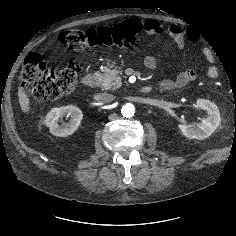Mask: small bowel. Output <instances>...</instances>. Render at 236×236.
Returning a JSON list of instances; mask_svg holds the SVG:
<instances>
[{
    "mask_svg": "<svg viewBox=\"0 0 236 236\" xmlns=\"http://www.w3.org/2000/svg\"><path fill=\"white\" fill-rule=\"evenodd\" d=\"M143 28L145 31L154 36L166 35L171 38L178 48L182 49L186 44L187 32L178 25L169 24L164 25L157 20H147L143 23ZM190 39L194 38V35L188 36ZM204 56L209 62V67L207 68L206 75L210 79H215L218 76V70L213 65L214 57L209 50H204ZM145 64L149 68H154L157 65V58L155 56H147L145 58ZM196 79V73L192 70H186L177 75L175 79H165L160 82L159 87L162 90L170 91L177 88H182Z\"/></svg>",
    "mask_w": 236,
    "mask_h": 236,
    "instance_id": "1",
    "label": "small bowel"
}]
</instances>
